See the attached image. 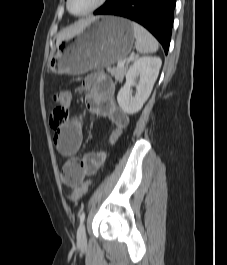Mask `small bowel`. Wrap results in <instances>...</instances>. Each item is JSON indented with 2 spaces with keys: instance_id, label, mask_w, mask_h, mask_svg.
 Masks as SVG:
<instances>
[{
  "instance_id": "1",
  "label": "small bowel",
  "mask_w": 227,
  "mask_h": 265,
  "mask_svg": "<svg viewBox=\"0 0 227 265\" xmlns=\"http://www.w3.org/2000/svg\"><path fill=\"white\" fill-rule=\"evenodd\" d=\"M86 90L85 104L89 112L106 117L114 126L110 134L109 144H114L122 131L129 125V116L122 111L114 98V85L104 73L91 72L84 82ZM83 141V128L80 118H73L59 129L53 137L57 151L64 157H69L70 174L63 181L70 187L78 186L86 176L95 174L106 160L105 151L86 153L81 159L74 156L79 151Z\"/></svg>"
}]
</instances>
